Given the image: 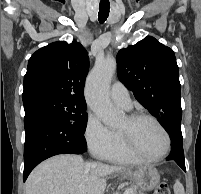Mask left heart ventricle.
<instances>
[{
  "label": "left heart ventricle",
  "instance_id": "b2bd125f",
  "mask_svg": "<svg viewBox=\"0 0 201 194\" xmlns=\"http://www.w3.org/2000/svg\"><path fill=\"white\" fill-rule=\"evenodd\" d=\"M119 129L131 130L135 147L144 155L155 157L165 150V136L150 120H140L131 127L125 118Z\"/></svg>",
  "mask_w": 201,
  "mask_h": 194
}]
</instances>
